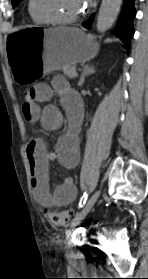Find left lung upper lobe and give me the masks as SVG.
<instances>
[{"mask_svg": "<svg viewBox=\"0 0 148 279\" xmlns=\"http://www.w3.org/2000/svg\"><path fill=\"white\" fill-rule=\"evenodd\" d=\"M20 1L22 0H12V5L13 7H15L16 5H18L20 3Z\"/></svg>", "mask_w": 148, "mask_h": 279, "instance_id": "obj_1", "label": "left lung upper lobe"}]
</instances>
